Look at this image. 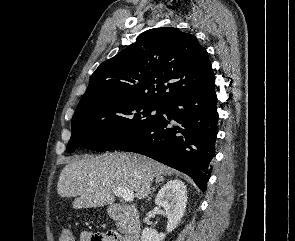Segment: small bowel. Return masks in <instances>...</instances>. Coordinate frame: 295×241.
Wrapping results in <instances>:
<instances>
[{
	"mask_svg": "<svg viewBox=\"0 0 295 241\" xmlns=\"http://www.w3.org/2000/svg\"><path fill=\"white\" fill-rule=\"evenodd\" d=\"M80 241H123V238L115 233H93V232H82L80 236Z\"/></svg>",
	"mask_w": 295,
	"mask_h": 241,
	"instance_id": "small-bowel-1",
	"label": "small bowel"
}]
</instances>
